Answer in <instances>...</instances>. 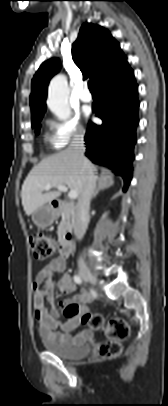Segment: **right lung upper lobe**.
Masks as SVG:
<instances>
[{"mask_svg": "<svg viewBox=\"0 0 168 406\" xmlns=\"http://www.w3.org/2000/svg\"><path fill=\"white\" fill-rule=\"evenodd\" d=\"M72 58L84 77H90L96 87L128 66L127 58L110 32L99 25H82L72 45ZM60 70L58 58L43 62L32 79L30 105L32 123L40 121L46 111L47 87Z\"/></svg>", "mask_w": 168, "mask_h": 406, "instance_id": "obj_1", "label": "right lung upper lobe"}]
</instances>
